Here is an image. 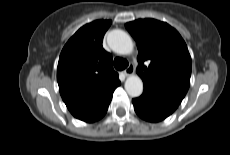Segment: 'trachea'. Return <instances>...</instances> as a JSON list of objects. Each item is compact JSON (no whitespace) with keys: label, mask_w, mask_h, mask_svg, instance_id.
I'll return each instance as SVG.
<instances>
[{"label":"trachea","mask_w":230,"mask_h":155,"mask_svg":"<svg viewBox=\"0 0 230 155\" xmlns=\"http://www.w3.org/2000/svg\"><path fill=\"white\" fill-rule=\"evenodd\" d=\"M128 61L126 59H123V58H119V57H116L114 59V67L117 69V70H123L125 68L128 67Z\"/></svg>","instance_id":"1"}]
</instances>
